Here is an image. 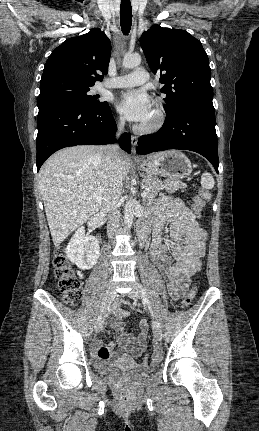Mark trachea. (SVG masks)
Wrapping results in <instances>:
<instances>
[{
    "label": "trachea",
    "mask_w": 259,
    "mask_h": 431,
    "mask_svg": "<svg viewBox=\"0 0 259 431\" xmlns=\"http://www.w3.org/2000/svg\"><path fill=\"white\" fill-rule=\"evenodd\" d=\"M120 23L122 32L128 35L132 25V8L130 0H122L120 5Z\"/></svg>",
    "instance_id": "obj_1"
}]
</instances>
